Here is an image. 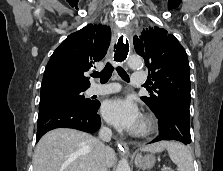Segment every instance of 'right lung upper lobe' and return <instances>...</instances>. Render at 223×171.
<instances>
[{
  "label": "right lung upper lobe",
  "mask_w": 223,
  "mask_h": 171,
  "mask_svg": "<svg viewBox=\"0 0 223 171\" xmlns=\"http://www.w3.org/2000/svg\"><path fill=\"white\" fill-rule=\"evenodd\" d=\"M110 29L89 24L69 35L52 54L43 76L40 98L90 87L84 73L107 53Z\"/></svg>",
  "instance_id": "right-lung-upper-lobe-1"
}]
</instances>
